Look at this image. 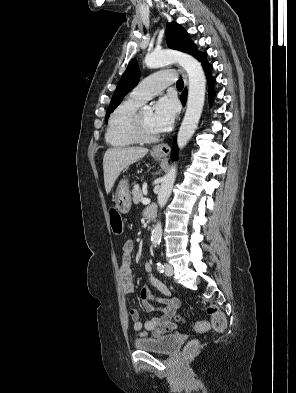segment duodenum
<instances>
[{
  "label": "duodenum",
  "instance_id": "410a0bca",
  "mask_svg": "<svg viewBox=\"0 0 296 393\" xmlns=\"http://www.w3.org/2000/svg\"><path fill=\"white\" fill-rule=\"evenodd\" d=\"M157 215V206L151 205L146 210V218L148 221H152Z\"/></svg>",
  "mask_w": 296,
  "mask_h": 393
}]
</instances>
